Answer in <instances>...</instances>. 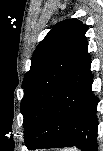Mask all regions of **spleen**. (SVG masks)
I'll list each match as a JSON object with an SVG mask.
<instances>
[{"instance_id": "obj_1", "label": "spleen", "mask_w": 103, "mask_h": 151, "mask_svg": "<svg viewBox=\"0 0 103 151\" xmlns=\"http://www.w3.org/2000/svg\"><path fill=\"white\" fill-rule=\"evenodd\" d=\"M64 151H78L76 148H69V149H64Z\"/></svg>"}]
</instances>
